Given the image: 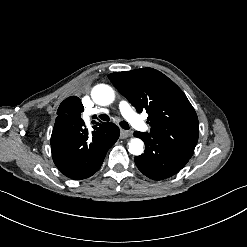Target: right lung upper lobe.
Listing matches in <instances>:
<instances>
[{
	"label": "right lung upper lobe",
	"instance_id": "right-lung-upper-lobe-1",
	"mask_svg": "<svg viewBox=\"0 0 247 247\" xmlns=\"http://www.w3.org/2000/svg\"><path fill=\"white\" fill-rule=\"evenodd\" d=\"M83 111L84 107L78 97L72 96L64 100L58 108V117L56 118L52 133H56L62 129L71 128L74 126H84V122L81 119V112ZM107 124L108 123H97V126H93L95 133Z\"/></svg>",
	"mask_w": 247,
	"mask_h": 247
}]
</instances>
